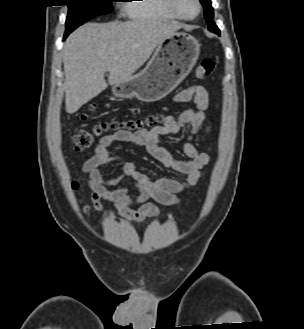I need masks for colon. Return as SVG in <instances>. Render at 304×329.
Listing matches in <instances>:
<instances>
[{
    "mask_svg": "<svg viewBox=\"0 0 304 329\" xmlns=\"http://www.w3.org/2000/svg\"><path fill=\"white\" fill-rule=\"evenodd\" d=\"M215 68V62L211 58L202 59L196 68L195 74L198 78H204L210 74H212ZM95 107L90 106L89 110H94ZM86 115H82V119H85ZM165 121V117L163 114L159 115H148L141 119L131 120L123 128L119 127L117 124H109V123H99L93 126V128L89 130H80L72 137V143L77 150H86L92 146L94 141L106 134L107 132L119 131V130H131L135 132L139 131H149L160 125H162ZM73 189H77L78 185L74 183L72 185Z\"/></svg>",
    "mask_w": 304,
    "mask_h": 329,
    "instance_id": "obj_1",
    "label": "colon"
}]
</instances>
